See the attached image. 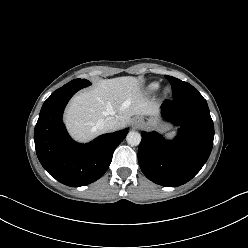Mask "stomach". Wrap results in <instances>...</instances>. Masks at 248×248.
<instances>
[{
	"label": "stomach",
	"instance_id": "0dacf381",
	"mask_svg": "<svg viewBox=\"0 0 248 248\" xmlns=\"http://www.w3.org/2000/svg\"><path fill=\"white\" fill-rule=\"evenodd\" d=\"M146 126L148 128H151V129H155L156 127L158 128L159 127V122L155 119H149L146 123ZM160 130H163L164 128L163 127H160L159 128Z\"/></svg>",
	"mask_w": 248,
	"mask_h": 248
}]
</instances>
